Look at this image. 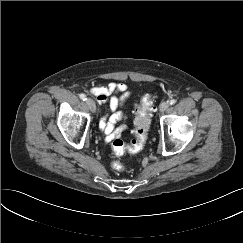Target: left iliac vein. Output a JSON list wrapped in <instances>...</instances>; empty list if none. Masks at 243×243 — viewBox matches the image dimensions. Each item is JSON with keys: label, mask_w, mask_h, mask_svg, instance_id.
Returning <instances> with one entry per match:
<instances>
[{"label": "left iliac vein", "mask_w": 243, "mask_h": 243, "mask_svg": "<svg viewBox=\"0 0 243 243\" xmlns=\"http://www.w3.org/2000/svg\"><path fill=\"white\" fill-rule=\"evenodd\" d=\"M169 107V102L168 101H164L160 104V111L164 112L167 108Z\"/></svg>", "instance_id": "1"}]
</instances>
